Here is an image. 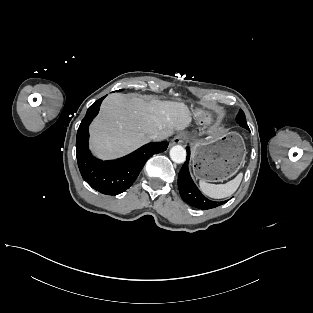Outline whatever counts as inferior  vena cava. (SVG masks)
<instances>
[{
	"instance_id": "602c4592",
	"label": "inferior vena cava",
	"mask_w": 313,
	"mask_h": 313,
	"mask_svg": "<svg viewBox=\"0 0 313 313\" xmlns=\"http://www.w3.org/2000/svg\"><path fill=\"white\" fill-rule=\"evenodd\" d=\"M149 138L152 140H162L163 136L159 132H156V133L151 134Z\"/></svg>"
}]
</instances>
